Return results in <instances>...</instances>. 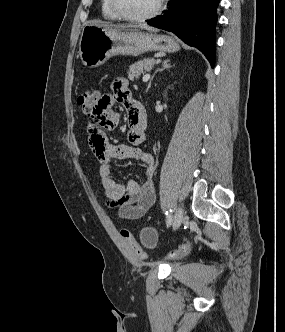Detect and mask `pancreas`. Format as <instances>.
<instances>
[{"label":"pancreas","mask_w":285,"mask_h":332,"mask_svg":"<svg viewBox=\"0 0 285 332\" xmlns=\"http://www.w3.org/2000/svg\"><path fill=\"white\" fill-rule=\"evenodd\" d=\"M155 63L153 58H146L140 60L129 66L128 78L133 81L137 79L141 74L150 71Z\"/></svg>","instance_id":"cf45deb5"}]
</instances>
